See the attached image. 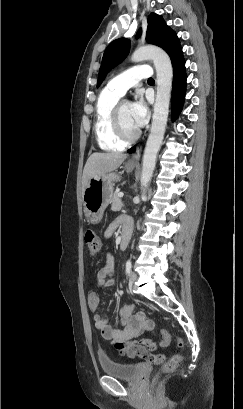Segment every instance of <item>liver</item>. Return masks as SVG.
<instances>
[{"label":"liver","mask_w":243,"mask_h":409,"mask_svg":"<svg viewBox=\"0 0 243 409\" xmlns=\"http://www.w3.org/2000/svg\"><path fill=\"white\" fill-rule=\"evenodd\" d=\"M127 158L123 153H93L87 159L82 176V191L91 178L99 177L116 170Z\"/></svg>","instance_id":"1"}]
</instances>
